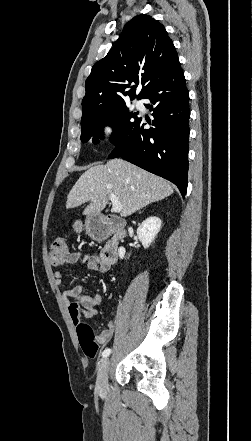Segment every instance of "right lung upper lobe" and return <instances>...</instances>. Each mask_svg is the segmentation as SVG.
<instances>
[{
    "label": "right lung upper lobe",
    "mask_w": 252,
    "mask_h": 441,
    "mask_svg": "<svg viewBox=\"0 0 252 441\" xmlns=\"http://www.w3.org/2000/svg\"><path fill=\"white\" fill-rule=\"evenodd\" d=\"M177 61L164 26L148 15L134 17L125 25L116 45L93 66L85 82L81 124L125 105L127 96L131 100L143 98ZM139 83L143 88L136 96Z\"/></svg>",
    "instance_id": "1"
}]
</instances>
